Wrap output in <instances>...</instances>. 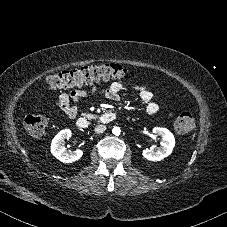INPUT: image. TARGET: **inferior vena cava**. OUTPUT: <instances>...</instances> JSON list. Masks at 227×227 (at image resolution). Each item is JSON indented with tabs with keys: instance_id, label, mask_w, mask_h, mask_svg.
I'll list each match as a JSON object with an SVG mask.
<instances>
[{
	"instance_id": "inferior-vena-cava-1",
	"label": "inferior vena cava",
	"mask_w": 227,
	"mask_h": 227,
	"mask_svg": "<svg viewBox=\"0 0 227 227\" xmlns=\"http://www.w3.org/2000/svg\"><path fill=\"white\" fill-rule=\"evenodd\" d=\"M106 130L105 125H97L94 129L95 133H103Z\"/></svg>"
}]
</instances>
